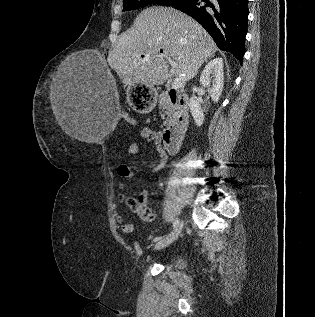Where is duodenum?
Returning <instances> with one entry per match:
<instances>
[{"label": "duodenum", "mask_w": 315, "mask_h": 317, "mask_svg": "<svg viewBox=\"0 0 315 317\" xmlns=\"http://www.w3.org/2000/svg\"><path fill=\"white\" fill-rule=\"evenodd\" d=\"M167 104L173 112L169 127L163 132L162 140L169 154L177 153L188 129V104L185 96L175 88L169 91Z\"/></svg>", "instance_id": "duodenum-1"}]
</instances>
